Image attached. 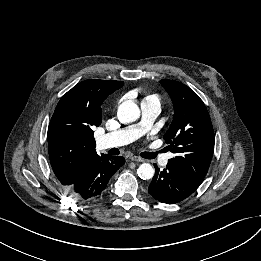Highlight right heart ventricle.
<instances>
[{"instance_id":"right-heart-ventricle-1","label":"right heart ventricle","mask_w":261,"mask_h":261,"mask_svg":"<svg viewBox=\"0 0 261 261\" xmlns=\"http://www.w3.org/2000/svg\"><path fill=\"white\" fill-rule=\"evenodd\" d=\"M144 101H153V102H156L157 104H159V99L156 95H150V96H147Z\"/></svg>"}]
</instances>
